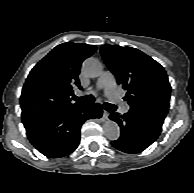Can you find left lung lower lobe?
Listing matches in <instances>:
<instances>
[{"label": "left lung lower lobe", "mask_w": 194, "mask_h": 193, "mask_svg": "<svg viewBox=\"0 0 194 193\" xmlns=\"http://www.w3.org/2000/svg\"><path fill=\"white\" fill-rule=\"evenodd\" d=\"M110 119L117 122L121 129L118 140L112 145L125 153H138L150 146L160 135L164 120L135 111L123 116L112 113Z\"/></svg>", "instance_id": "obj_1"}]
</instances>
